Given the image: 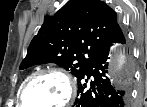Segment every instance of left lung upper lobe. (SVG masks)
<instances>
[{
  "instance_id": "1",
  "label": "left lung upper lobe",
  "mask_w": 147,
  "mask_h": 107,
  "mask_svg": "<svg viewBox=\"0 0 147 107\" xmlns=\"http://www.w3.org/2000/svg\"><path fill=\"white\" fill-rule=\"evenodd\" d=\"M118 24L116 12L100 0H70L46 17L20 69L53 62L78 79Z\"/></svg>"
}]
</instances>
